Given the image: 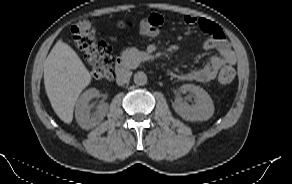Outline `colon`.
Masks as SVG:
<instances>
[{"label": "colon", "instance_id": "obj_1", "mask_svg": "<svg viewBox=\"0 0 292 184\" xmlns=\"http://www.w3.org/2000/svg\"><path fill=\"white\" fill-rule=\"evenodd\" d=\"M161 24V20L151 14L141 24L142 33L148 37H157ZM71 31L76 47L92 66L93 78L97 81L111 80L114 62L111 49L105 42L97 40L92 21L89 19L78 21L72 26ZM234 77V68L227 65L220 70L218 81L221 86H226L233 81Z\"/></svg>", "mask_w": 292, "mask_h": 184}]
</instances>
